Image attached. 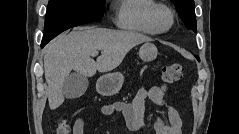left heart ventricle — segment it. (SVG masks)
Masks as SVG:
<instances>
[{
	"label": "left heart ventricle",
	"mask_w": 239,
	"mask_h": 134,
	"mask_svg": "<svg viewBox=\"0 0 239 134\" xmlns=\"http://www.w3.org/2000/svg\"><path fill=\"white\" fill-rule=\"evenodd\" d=\"M170 22V18H169V15L165 12H162L159 14L158 16V23L161 27H166L168 26Z\"/></svg>",
	"instance_id": "left-heart-ventricle-1"
}]
</instances>
